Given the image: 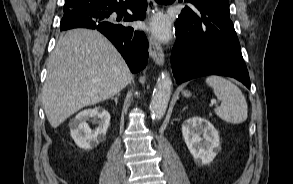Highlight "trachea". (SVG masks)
I'll list each match as a JSON object with an SVG mask.
<instances>
[{"instance_id": "3493384b", "label": "trachea", "mask_w": 293, "mask_h": 184, "mask_svg": "<svg viewBox=\"0 0 293 184\" xmlns=\"http://www.w3.org/2000/svg\"><path fill=\"white\" fill-rule=\"evenodd\" d=\"M157 2L163 1V0H156Z\"/></svg>"}]
</instances>
